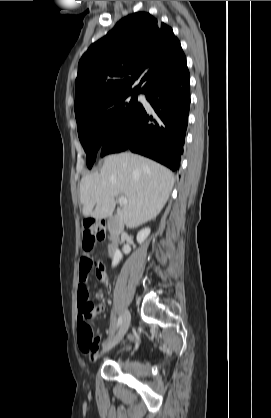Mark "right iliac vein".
I'll return each mask as SVG.
<instances>
[{
    "instance_id": "63e3f726",
    "label": "right iliac vein",
    "mask_w": 271,
    "mask_h": 418,
    "mask_svg": "<svg viewBox=\"0 0 271 418\" xmlns=\"http://www.w3.org/2000/svg\"><path fill=\"white\" fill-rule=\"evenodd\" d=\"M130 322H131L130 312L126 311L124 313L123 321H122V324H121V327H120L119 331L117 332V334L112 339L108 340L103 345V352L109 351L110 349H112L115 345H117L122 340V338L124 337V335L128 331V328L130 326Z\"/></svg>"
}]
</instances>
